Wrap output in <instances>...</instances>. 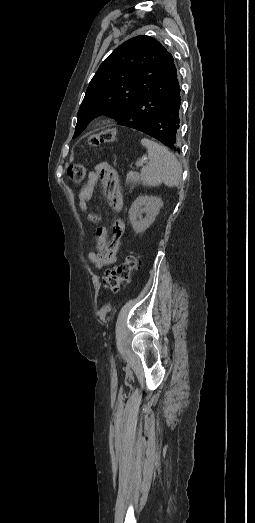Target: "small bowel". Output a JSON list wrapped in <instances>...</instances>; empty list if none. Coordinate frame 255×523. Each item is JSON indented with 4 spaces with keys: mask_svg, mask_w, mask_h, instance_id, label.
I'll list each match as a JSON object with an SVG mask.
<instances>
[{
    "mask_svg": "<svg viewBox=\"0 0 255 523\" xmlns=\"http://www.w3.org/2000/svg\"><path fill=\"white\" fill-rule=\"evenodd\" d=\"M100 178L103 181L107 201L115 212L121 213L123 210V198L118 174L105 162L98 164L89 172L87 183L79 192V208L84 212L88 211L94 188ZM88 219L90 222L96 224L101 221V216L96 213H89ZM125 230V222L122 219H116L113 223V238L109 241L107 229L102 226L97 227L95 248L88 252V260L94 264L97 269H103L117 261L121 239Z\"/></svg>",
    "mask_w": 255,
    "mask_h": 523,
    "instance_id": "small-bowel-1",
    "label": "small bowel"
}]
</instances>
